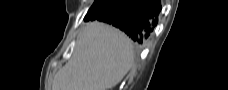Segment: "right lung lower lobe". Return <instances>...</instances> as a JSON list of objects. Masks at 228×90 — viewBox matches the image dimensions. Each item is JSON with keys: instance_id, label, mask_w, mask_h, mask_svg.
<instances>
[{"instance_id": "right-lung-lower-lobe-1", "label": "right lung lower lobe", "mask_w": 228, "mask_h": 90, "mask_svg": "<svg viewBox=\"0 0 228 90\" xmlns=\"http://www.w3.org/2000/svg\"><path fill=\"white\" fill-rule=\"evenodd\" d=\"M160 0H102L95 3L85 21L98 20L124 31L135 43L144 44L158 22Z\"/></svg>"}]
</instances>
